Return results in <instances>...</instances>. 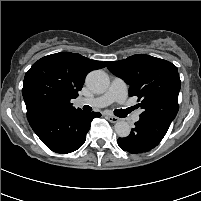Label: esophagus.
<instances>
[{
  "instance_id": "1",
  "label": "esophagus",
  "mask_w": 201,
  "mask_h": 201,
  "mask_svg": "<svg viewBox=\"0 0 201 201\" xmlns=\"http://www.w3.org/2000/svg\"><path fill=\"white\" fill-rule=\"evenodd\" d=\"M106 118L111 122V123H117L120 119L116 116L113 115H107Z\"/></svg>"
}]
</instances>
